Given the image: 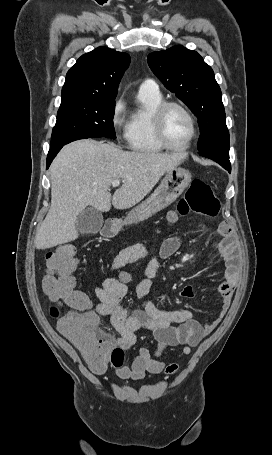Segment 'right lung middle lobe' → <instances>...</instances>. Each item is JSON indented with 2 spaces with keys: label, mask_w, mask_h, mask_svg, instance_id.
I'll use <instances>...</instances> for the list:
<instances>
[{
  "label": "right lung middle lobe",
  "mask_w": 272,
  "mask_h": 455,
  "mask_svg": "<svg viewBox=\"0 0 272 455\" xmlns=\"http://www.w3.org/2000/svg\"><path fill=\"white\" fill-rule=\"evenodd\" d=\"M115 101L61 103L52 131L51 148L85 138L115 139Z\"/></svg>",
  "instance_id": "right-lung-middle-lobe-1"
}]
</instances>
